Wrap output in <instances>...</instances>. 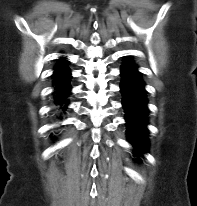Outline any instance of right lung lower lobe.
<instances>
[{
  "label": "right lung lower lobe",
  "mask_w": 197,
  "mask_h": 206,
  "mask_svg": "<svg viewBox=\"0 0 197 206\" xmlns=\"http://www.w3.org/2000/svg\"><path fill=\"white\" fill-rule=\"evenodd\" d=\"M53 88H54V102L57 109L61 112H65L69 101L67 100L70 94L71 86L69 80L71 78V73L69 68L65 65L60 70L54 72L53 74ZM61 118V116L59 117Z\"/></svg>",
  "instance_id": "98d812e1"
}]
</instances>
